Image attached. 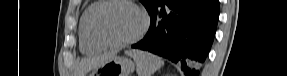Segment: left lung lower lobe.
Listing matches in <instances>:
<instances>
[{"label": "left lung lower lobe", "instance_id": "0a47b994", "mask_svg": "<svg viewBox=\"0 0 287 76\" xmlns=\"http://www.w3.org/2000/svg\"><path fill=\"white\" fill-rule=\"evenodd\" d=\"M150 17L146 36L132 48L179 63L184 74L199 76L216 32L219 0H164Z\"/></svg>", "mask_w": 287, "mask_h": 76}]
</instances>
